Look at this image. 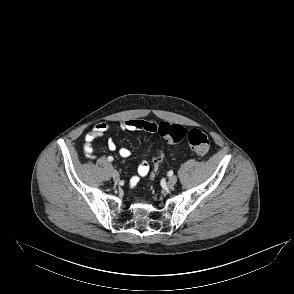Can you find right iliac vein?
<instances>
[{
	"mask_svg": "<svg viewBox=\"0 0 294 294\" xmlns=\"http://www.w3.org/2000/svg\"><path fill=\"white\" fill-rule=\"evenodd\" d=\"M112 178L115 182H119L120 181V175L116 170H113L112 172Z\"/></svg>",
	"mask_w": 294,
	"mask_h": 294,
	"instance_id": "obj_1",
	"label": "right iliac vein"
}]
</instances>
